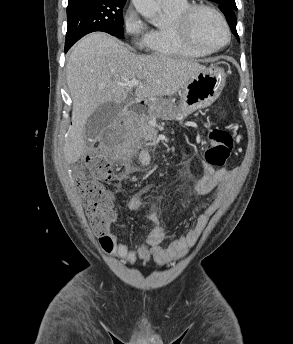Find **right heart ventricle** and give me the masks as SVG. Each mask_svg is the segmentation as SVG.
Masks as SVG:
<instances>
[{"mask_svg":"<svg viewBox=\"0 0 293 344\" xmlns=\"http://www.w3.org/2000/svg\"><path fill=\"white\" fill-rule=\"evenodd\" d=\"M190 5L188 0H177L170 4H163L169 21L164 27L149 30L145 44L149 53L159 57L179 59H197L205 55L186 46L174 31L175 18Z\"/></svg>","mask_w":293,"mask_h":344,"instance_id":"e07e8e85","label":"right heart ventricle"}]
</instances>
